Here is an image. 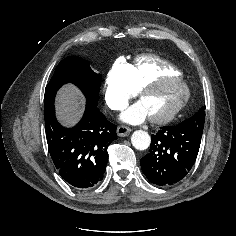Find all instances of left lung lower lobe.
Returning <instances> with one entry per match:
<instances>
[{"instance_id": "left-lung-lower-lobe-1", "label": "left lung lower lobe", "mask_w": 236, "mask_h": 236, "mask_svg": "<svg viewBox=\"0 0 236 236\" xmlns=\"http://www.w3.org/2000/svg\"><path fill=\"white\" fill-rule=\"evenodd\" d=\"M203 131L185 126H164L151 136L150 152L140 161L147 179L159 186L173 185L192 168Z\"/></svg>"}]
</instances>
